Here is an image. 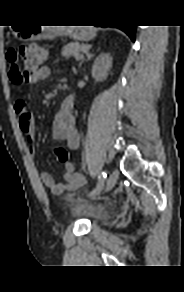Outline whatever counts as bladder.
Instances as JSON below:
<instances>
[{
    "mask_svg": "<svg viewBox=\"0 0 184 292\" xmlns=\"http://www.w3.org/2000/svg\"><path fill=\"white\" fill-rule=\"evenodd\" d=\"M68 206L70 213L74 217L86 219L91 224H95L106 217V210L104 207L86 203L77 197L69 198Z\"/></svg>",
    "mask_w": 184,
    "mask_h": 292,
    "instance_id": "1",
    "label": "bladder"
}]
</instances>
